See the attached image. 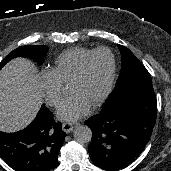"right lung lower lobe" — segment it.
<instances>
[{
  "mask_svg": "<svg viewBox=\"0 0 171 171\" xmlns=\"http://www.w3.org/2000/svg\"><path fill=\"white\" fill-rule=\"evenodd\" d=\"M66 134L52 113L41 107L34 121L16 133L0 131V156L16 171H52Z\"/></svg>",
  "mask_w": 171,
  "mask_h": 171,
  "instance_id": "1",
  "label": "right lung lower lobe"
}]
</instances>
